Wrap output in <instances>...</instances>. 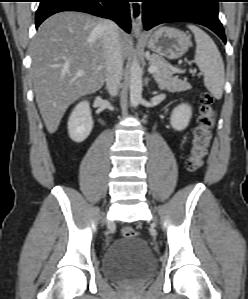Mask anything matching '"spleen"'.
I'll list each match as a JSON object with an SVG mask.
<instances>
[{
  "mask_svg": "<svg viewBox=\"0 0 248 299\" xmlns=\"http://www.w3.org/2000/svg\"><path fill=\"white\" fill-rule=\"evenodd\" d=\"M188 28L195 37V62L204 75L205 87L216 99H220L225 82L221 54L211 37L202 29L195 25H188Z\"/></svg>",
  "mask_w": 248,
  "mask_h": 299,
  "instance_id": "3e777b00",
  "label": "spleen"
}]
</instances>
